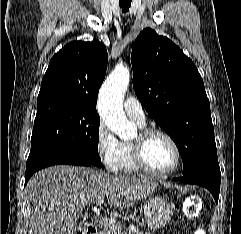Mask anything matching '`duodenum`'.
I'll return each instance as SVG.
<instances>
[{"label": "duodenum", "instance_id": "1", "mask_svg": "<svg viewBox=\"0 0 241 234\" xmlns=\"http://www.w3.org/2000/svg\"><path fill=\"white\" fill-rule=\"evenodd\" d=\"M83 234H98L97 226L93 222H89L84 226Z\"/></svg>", "mask_w": 241, "mask_h": 234}]
</instances>
